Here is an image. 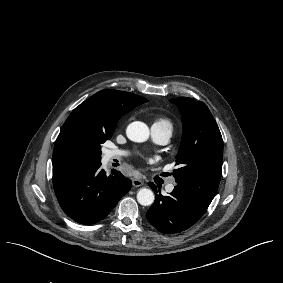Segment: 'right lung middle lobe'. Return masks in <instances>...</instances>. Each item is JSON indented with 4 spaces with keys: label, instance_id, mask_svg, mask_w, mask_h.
<instances>
[{
    "label": "right lung middle lobe",
    "instance_id": "1",
    "mask_svg": "<svg viewBox=\"0 0 283 283\" xmlns=\"http://www.w3.org/2000/svg\"><path fill=\"white\" fill-rule=\"evenodd\" d=\"M111 137H112V134L101 133L97 135L94 140V147H95V151L97 153L99 162L101 160V144H103L106 140H109Z\"/></svg>",
    "mask_w": 283,
    "mask_h": 283
}]
</instances>
